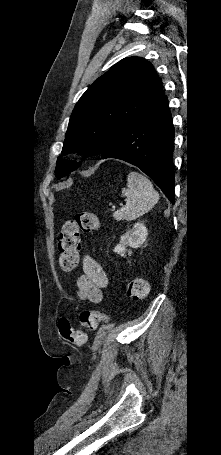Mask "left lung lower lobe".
I'll list each match as a JSON object with an SVG mask.
<instances>
[{"instance_id": "0a47b994", "label": "left lung lower lobe", "mask_w": 221, "mask_h": 455, "mask_svg": "<svg viewBox=\"0 0 221 455\" xmlns=\"http://www.w3.org/2000/svg\"><path fill=\"white\" fill-rule=\"evenodd\" d=\"M174 134L168 100L163 95L116 136L101 153L102 159H121L139 167L174 203Z\"/></svg>"}]
</instances>
